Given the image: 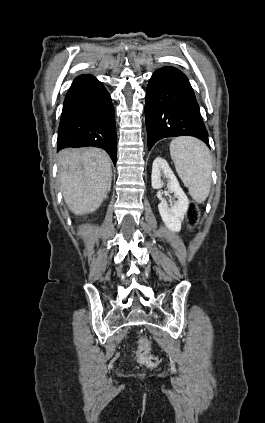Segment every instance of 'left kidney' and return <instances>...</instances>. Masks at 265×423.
<instances>
[{"mask_svg": "<svg viewBox=\"0 0 265 423\" xmlns=\"http://www.w3.org/2000/svg\"><path fill=\"white\" fill-rule=\"evenodd\" d=\"M168 179V192L174 193V198L177 200L172 203L170 200V207L166 200L162 198L161 191L157 192V197L161 202L158 205L159 213L166 227L172 232H179L181 230V223L189 207V200L179 185V182L169 167L167 161L162 157H157L152 165V187L160 189L163 186L161 175Z\"/></svg>", "mask_w": 265, "mask_h": 423, "instance_id": "1", "label": "left kidney"}]
</instances>
